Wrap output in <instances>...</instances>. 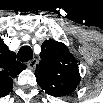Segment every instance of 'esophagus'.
Listing matches in <instances>:
<instances>
[{
	"instance_id": "1",
	"label": "esophagus",
	"mask_w": 103,
	"mask_h": 103,
	"mask_svg": "<svg viewBox=\"0 0 103 103\" xmlns=\"http://www.w3.org/2000/svg\"><path fill=\"white\" fill-rule=\"evenodd\" d=\"M37 65V60L36 59H31L29 62H28V68L29 69H34Z\"/></svg>"
}]
</instances>
